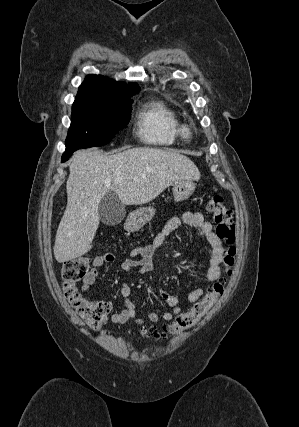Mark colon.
Here are the masks:
<instances>
[{"mask_svg": "<svg viewBox=\"0 0 299 427\" xmlns=\"http://www.w3.org/2000/svg\"><path fill=\"white\" fill-rule=\"evenodd\" d=\"M207 209L213 214L216 223V235L228 247L223 258L224 270L227 276L232 274L235 262L236 225L233 213L225 206L221 195H212L207 203ZM90 269V259L85 256L76 257L64 262L61 276L65 297L75 309L79 317L93 330H100L110 311V305L103 301H89L78 288V283L86 276ZM226 278L216 282L208 293L187 312L181 313L161 332L156 329L144 330L154 337L161 338L168 334H178L199 324L217 300L222 296Z\"/></svg>", "mask_w": 299, "mask_h": 427, "instance_id": "obj_1", "label": "colon"}]
</instances>
